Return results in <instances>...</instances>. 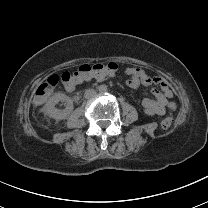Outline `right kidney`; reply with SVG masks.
<instances>
[{
    "label": "right kidney",
    "mask_w": 208,
    "mask_h": 208,
    "mask_svg": "<svg viewBox=\"0 0 208 208\" xmlns=\"http://www.w3.org/2000/svg\"><path fill=\"white\" fill-rule=\"evenodd\" d=\"M59 101H67V107L65 110H59L55 108V105L59 102ZM45 113L56 119V120H62V119H66L71 111L73 110V104L72 101L69 99L68 96H66L63 93H55L53 96H51L48 101L46 102L45 106Z\"/></svg>",
    "instance_id": "1"
}]
</instances>
